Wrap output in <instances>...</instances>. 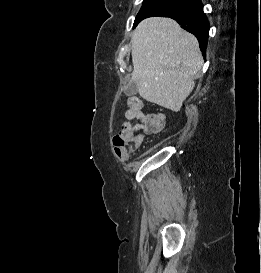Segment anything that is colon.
<instances>
[{"instance_id":"obj_1","label":"colon","mask_w":261,"mask_h":273,"mask_svg":"<svg viewBox=\"0 0 261 273\" xmlns=\"http://www.w3.org/2000/svg\"><path fill=\"white\" fill-rule=\"evenodd\" d=\"M128 106L134 111V113H143V104L137 97L130 96L127 100ZM142 136L134 134V132H128L121 130L117 132L113 137V146L116 157L120 161L127 159L129 154L136 151L142 144Z\"/></svg>"}]
</instances>
